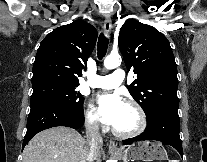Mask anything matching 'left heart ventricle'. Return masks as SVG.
I'll use <instances>...</instances> for the list:
<instances>
[{
    "mask_svg": "<svg viewBox=\"0 0 207 162\" xmlns=\"http://www.w3.org/2000/svg\"><path fill=\"white\" fill-rule=\"evenodd\" d=\"M138 123L139 118L136 110L132 106L124 103L113 127L120 131L128 132L135 129Z\"/></svg>",
    "mask_w": 207,
    "mask_h": 162,
    "instance_id": "left-heart-ventricle-1",
    "label": "left heart ventricle"
}]
</instances>
